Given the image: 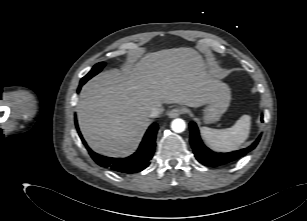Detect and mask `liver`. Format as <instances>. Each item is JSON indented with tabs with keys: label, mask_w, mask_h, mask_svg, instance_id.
<instances>
[{
	"label": "liver",
	"mask_w": 307,
	"mask_h": 221,
	"mask_svg": "<svg viewBox=\"0 0 307 221\" xmlns=\"http://www.w3.org/2000/svg\"><path fill=\"white\" fill-rule=\"evenodd\" d=\"M219 84L192 48L148 53L133 66L103 72L83 86L76 107L79 128L94 151L127 156L149 127L153 108L200 107L214 98Z\"/></svg>",
	"instance_id": "6515ba94"
}]
</instances>
